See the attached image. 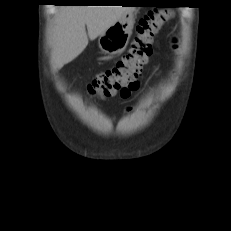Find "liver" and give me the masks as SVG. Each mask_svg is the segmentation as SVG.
Listing matches in <instances>:
<instances>
[{
  "mask_svg": "<svg viewBox=\"0 0 231 231\" xmlns=\"http://www.w3.org/2000/svg\"><path fill=\"white\" fill-rule=\"evenodd\" d=\"M133 10V7L122 6L61 7L50 35L52 66L61 68L74 60L88 45V36L91 40L96 39L124 14Z\"/></svg>",
  "mask_w": 231,
  "mask_h": 231,
  "instance_id": "6515ba94",
  "label": "liver"
}]
</instances>
